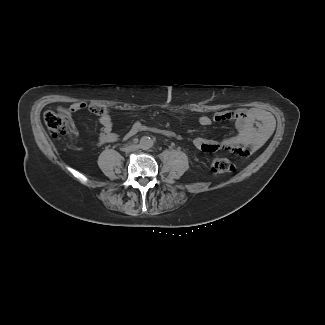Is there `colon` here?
I'll use <instances>...</instances> for the list:
<instances>
[{
  "mask_svg": "<svg viewBox=\"0 0 325 325\" xmlns=\"http://www.w3.org/2000/svg\"><path fill=\"white\" fill-rule=\"evenodd\" d=\"M44 122L54 136L66 134L70 129L67 119L62 114L52 110L44 113ZM211 169L216 174H225L233 171L234 165L227 158L216 157L211 163Z\"/></svg>",
  "mask_w": 325,
  "mask_h": 325,
  "instance_id": "5ec220e1",
  "label": "colon"
}]
</instances>
